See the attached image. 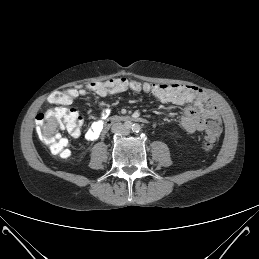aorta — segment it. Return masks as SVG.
Listing matches in <instances>:
<instances>
[{
    "label": "aorta",
    "instance_id": "762f6f07",
    "mask_svg": "<svg viewBox=\"0 0 259 259\" xmlns=\"http://www.w3.org/2000/svg\"><path fill=\"white\" fill-rule=\"evenodd\" d=\"M131 128L134 132H139L140 130V126L138 124H133Z\"/></svg>",
    "mask_w": 259,
    "mask_h": 259
}]
</instances>
